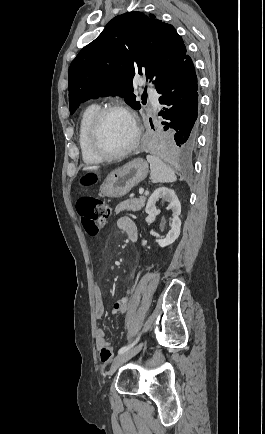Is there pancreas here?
Returning <instances> with one entry per match:
<instances>
[{"label": "pancreas", "mask_w": 265, "mask_h": 434, "mask_svg": "<svg viewBox=\"0 0 265 434\" xmlns=\"http://www.w3.org/2000/svg\"><path fill=\"white\" fill-rule=\"evenodd\" d=\"M146 196H139V198H134V200H125V202H121L115 208V212H123V210H132V212H138L141 210L143 206H145Z\"/></svg>", "instance_id": "1"}]
</instances>
